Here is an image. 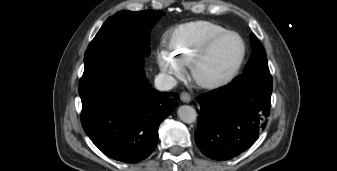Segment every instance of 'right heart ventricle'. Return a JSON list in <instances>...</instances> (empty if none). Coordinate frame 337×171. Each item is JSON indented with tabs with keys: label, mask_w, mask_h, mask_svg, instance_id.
<instances>
[{
	"label": "right heart ventricle",
	"mask_w": 337,
	"mask_h": 171,
	"mask_svg": "<svg viewBox=\"0 0 337 171\" xmlns=\"http://www.w3.org/2000/svg\"><path fill=\"white\" fill-rule=\"evenodd\" d=\"M225 31V27L207 20L181 24L168 35V52L180 64L189 66L194 55L207 40Z\"/></svg>",
	"instance_id": "1"
}]
</instances>
